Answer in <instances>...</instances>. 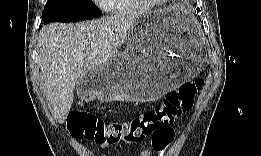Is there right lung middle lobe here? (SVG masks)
Here are the masks:
<instances>
[{
	"instance_id": "obj_1",
	"label": "right lung middle lobe",
	"mask_w": 261,
	"mask_h": 156,
	"mask_svg": "<svg viewBox=\"0 0 261 156\" xmlns=\"http://www.w3.org/2000/svg\"><path fill=\"white\" fill-rule=\"evenodd\" d=\"M102 12L90 0H48L42 20L49 22H76L97 17Z\"/></svg>"
}]
</instances>
